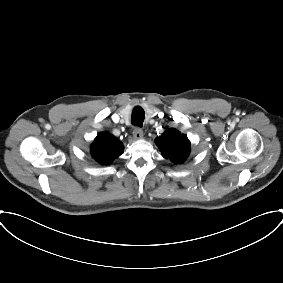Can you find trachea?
<instances>
[{
    "label": "trachea",
    "mask_w": 283,
    "mask_h": 283,
    "mask_svg": "<svg viewBox=\"0 0 283 283\" xmlns=\"http://www.w3.org/2000/svg\"><path fill=\"white\" fill-rule=\"evenodd\" d=\"M145 113L141 107H136L131 116V123L135 126L141 127L144 121Z\"/></svg>",
    "instance_id": "3493384b"
}]
</instances>
